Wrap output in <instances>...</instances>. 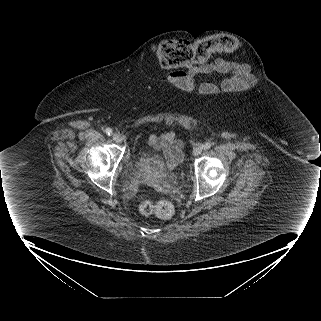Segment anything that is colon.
Returning a JSON list of instances; mask_svg holds the SVG:
<instances>
[{"label":"colon","mask_w":321,"mask_h":321,"mask_svg":"<svg viewBox=\"0 0 321 321\" xmlns=\"http://www.w3.org/2000/svg\"><path fill=\"white\" fill-rule=\"evenodd\" d=\"M237 40L230 35H215L197 42L166 40L155 45L154 53L159 64L167 69L204 63L219 52H232ZM139 210L144 216L156 215L167 219L174 213V207L167 200H141Z\"/></svg>","instance_id":"obj_1"}]
</instances>
